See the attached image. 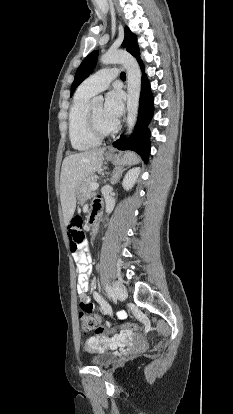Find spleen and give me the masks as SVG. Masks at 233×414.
I'll return each instance as SVG.
<instances>
[{
	"instance_id": "obj_1",
	"label": "spleen",
	"mask_w": 233,
	"mask_h": 414,
	"mask_svg": "<svg viewBox=\"0 0 233 414\" xmlns=\"http://www.w3.org/2000/svg\"><path fill=\"white\" fill-rule=\"evenodd\" d=\"M127 154L133 155V157H134L133 163H137L138 162V158H137V156L134 153H127Z\"/></svg>"
}]
</instances>
